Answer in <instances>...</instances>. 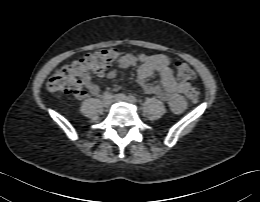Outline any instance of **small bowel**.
Here are the masks:
<instances>
[{"instance_id": "obj_1", "label": "small bowel", "mask_w": 260, "mask_h": 202, "mask_svg": "<svg viewBox=\"0 0 260 202\" xmlns=\"http://www.w3.org/2000/svg\"><path fill=\"white\" fill-rule=\"evenodd\" d=\"M138 65L137 79L142 89L150 95H155L162 101L169 104L173 111L180 113L184 109V101L182 94L188 92L191 85L185 81H178L175 78L174 70L170 65L169 59L162 54L155 55H133L125 54L118 61L120 69H127ZM155 73L159 74L160 82L158 84H148L146 81ZM104 72L99 75H103ZM106 76L114 79L117 76V70L109 71ZM86 89L91 94H98L101 90L100 86L92 79L87 78L84 83ZM86 96V91L81 88L75 92L77 99Z\"/></svg>"}]
</instances>
